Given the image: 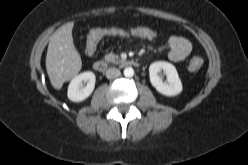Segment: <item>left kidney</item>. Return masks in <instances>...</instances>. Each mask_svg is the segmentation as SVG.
<instances>
[{
    "instance_id": "obj_1",
    "label": "left kidney",
    "mask_w": 248,
    "mask_h": 165,
    "mask_svg": "<svg viewBox=\"0 0 248 165\" xmlns=\"http://www.w3.org/2000/svg\"><path fill=\"white\" fill-rule=\"evenodd\" d=\"M164 71L167 81L163 82L158 75ZM149 77L152 86L161 94L166 96H176L182 91V83L174 65L164 61L154 62L149 67Z\"/></svg>"
}]
</instances>
